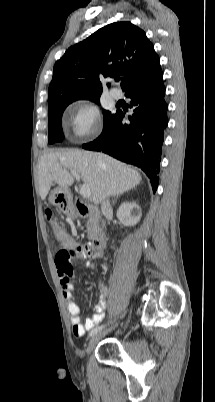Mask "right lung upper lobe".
<instances>
[{"label":"right lung upper lobe","mask_w":215,"mask_h":402,"mask_svg":"<svg viewBox=\"0 0 215 402\" xmlns=\"http://www.w3.org/2000/svg\"><path fill=\"white\" fill-rule=\"evenodd\" d=\"M123 76L125 95L160 81V59L145 32L130 22L100 28L70 47L54 65L48 104L58 98L101 95V79ZM109 87L110 84L108 83Z\"/></svg>","instance_id":"obj_1"}]
</instances>
